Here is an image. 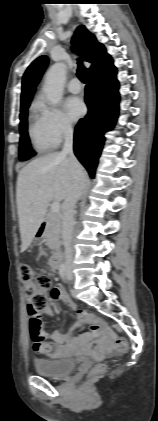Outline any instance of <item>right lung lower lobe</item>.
<instances>
[{
	"label": "right lung lower lobe",
	"instance_id": "right-lung-lower-lobe-1",
	"mask_svg": "<svg viewBox=\"0 0 158 421\" xmlns=\"http://www.w3.org/2000/svg\"><path fill=\"white\" fill-rule=\"evenodd\" d=\"M112 58L100 69L89 74L85 88L88 114L74 131V152L94 178L98 158L104 144V133L111 130L118 115L119 83Z\"/></svg>",
	"mask_w": 158,
	"mask_h": 421
}]
</instances>
